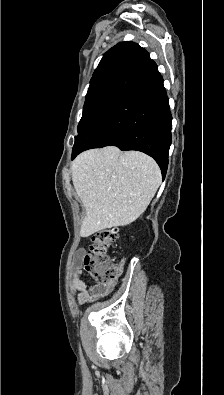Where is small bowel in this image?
<instances>
[{
	"instance_id": "obj_1",
	"label": "small bowel",
	"mask_w": 224,
	"mask_h": 395,
	"mask_svg": "<svg viewBox=\"0 0 224 395\" xmlns=\"http://www.w3.org/2000/svg\"><path fill=\"white\" fill-rule=\"evenodd\" d=\"M84 255L85 250L83 248L79 249L71 267V287L74 292H78L76 298L82 304L107 295L116 286V282H111L89 287L83 279L82 260Z\"/></svg>"
}]
</instances>
